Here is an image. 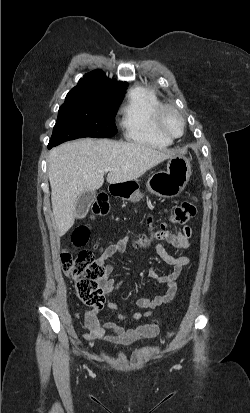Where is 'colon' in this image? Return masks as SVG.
<instances>
[{
	"label": "colon",
	"mask_w": 250,
	"mask_h": 413,
	"mask_svg": "<svg viewBox=\"0 0 250 413\" xmlns=\"http://www.w3.org/2000/svg\"><path fill=\"white\" fill-rule=\"evenodd\" d=\"M109 211V203L105 196H98L92 204V214L94 216H104ZM196 214V206L192 201H185L176 207L168 222L175 225H183L190 221ZM166 223L160 225V229H166ZM158 231L154 237L142 234L138 237L136 244L141 247L150 245L153 239H158ZM91 237L90 229L87 226L78 227L72 237L73 245L84 246ZM61 263L64 274L73 281L76 295L80 302L90 308H100L103 304V292L99 281L105 274V268L94 260L90 251H81L73 257L68 250L61 254ZM173 336V332L168 334V338Z\"/></svg>",
	"instance_id": "1"
}]
</instances>
